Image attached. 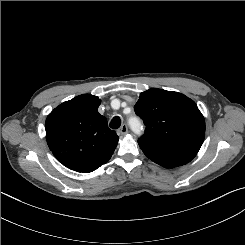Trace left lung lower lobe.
<instances>
[{"mask_svg":"<svg viewBox=\"0 0 245 245\" xmlns=\"http://www.w3.org/2000/svg\"><path fill=\"white\" fill-rule=\"evenodd\" d=\"M138 144L149 159L165 168L178 167L193 159L183 154L164 150L146 141L138 140Z\"/></svg>","mask_w":245,"mask_h":245,"instance_id":"left-lung-lower-lobe-1","label":"left lung lower lobe"}]
</instances>
